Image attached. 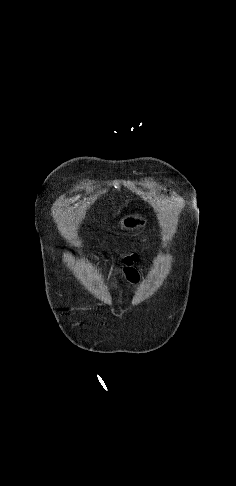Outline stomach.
<instances>
[{"label": "stomach", "mask_w": 236, "mask_h": 486, "mask_svg": "<svg viewBox=\"0 0 236 486\" xmlns=\"http://www.w3.org/2000/svg\"><path fill=\"white\" fill-rule=\"evenodd\" d=\"M148 222V219L142 213H128L120 218L117 225L121 229L134 231L144 228Z\"/></svg>", "instance_id": "1"}]
</instances>
